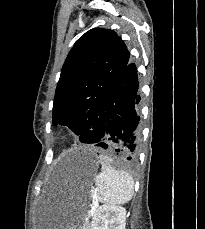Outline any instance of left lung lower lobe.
<instances>
[{
	"label": "left lung lower lobe",
	"mask_w": 205,
	"mask_h": 229,
	"mask_svg": "<svg viewBox=\"0 0 205 229\" xmlns=\"http://www.w3.org/2000/svg\"><path fill=\"white\" fill-rule=\"evenodd\" d=\"M138 85L136 66L129 62L109 93L102 124L87 129V143H95L96 146L119 152L117 155L127 162L135 161L138 154Z\"/></svg>",
	"instance_id": "left-lung-lower-lobe-1"
}]
</instances>
